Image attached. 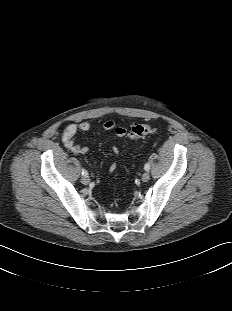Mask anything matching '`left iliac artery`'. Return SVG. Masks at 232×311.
Returning a JSON list of instances; mask_svg holds the SVG:
<instances>
[{
  "label": "left iliac artery",
  "instance_id": "1",
  "mask_svg": "<svg viewBox=\"0 0 232 311\" xmlns=\"http://www.w3.org/2000/svg\"><path fill=\"white\" fill-rule=\"evenodd\" d=\"M144 169H145L146 171H149L150 165H149L148 163H146L145 166H144Z\"/></svg>",
  "mask_w": 232,
  "mask_h": 311
}]
</instances>
